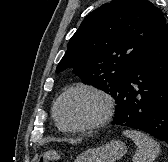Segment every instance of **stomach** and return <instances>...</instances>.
<instances>
[{
	"mask_svg": "<svg viewBox=\"0 0 168 162\" xmlns=\"http://www.w3.org/2000/svg\"><path fill=\"white\" fill-rule=\"evenodd\" d=\"M126 152V145L115 140L102 147L86 150L74 162H115L122 158Z\"/></svg>",
	"mask_w": 168,
	"mask_h": 162,
	"instance_id": "0dacf381",
	"label": "stomach"
}]
</instances>
